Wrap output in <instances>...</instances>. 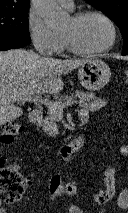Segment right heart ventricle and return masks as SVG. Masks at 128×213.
I'll list each match as a JSON object with an SVG mask.
<instances>
[{
	"mask_svg": "<svg viewBox=\"0 0 128 213\" xmlns=\"http://www.w3.org/2000/svg\"><path fill=\"white\" fill-rule=\"evenodd\" d=\"M60 34V38H61V48L60 50H64L67 46H66V42L63 36V33H59Z\"/></svg>",
	"mask_w": 128,
	"mask_h": 213,
	"instance_id": "1",
	"label": "right heart ventricle"
}]
</instances>
